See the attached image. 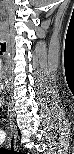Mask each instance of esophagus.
<instances>
[{"label": "esophagus", "mask_w": 74, "mask_h": 154, "mask_svg": "<svg viewBox=\"0 0 74 154\" xmlns=\"http://www.w3.org/2000/svg\"><path fill=\"white\" fill-rule=\"evenodd\" d=\"M16 135L14 134V130L11 131L10 138L8 139L9 145L14 146L16 142Z\"/></svg>", "instance_id": "esophagus-1"}]
</instances>
